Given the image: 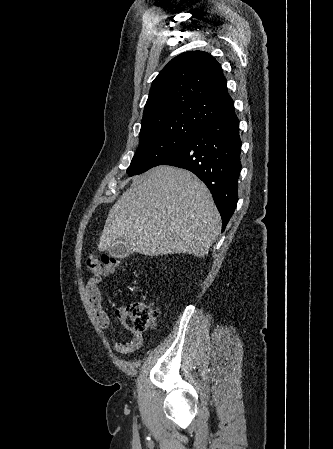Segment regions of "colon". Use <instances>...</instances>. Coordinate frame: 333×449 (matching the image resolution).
Listing matches in <instances>:
<instances>
[{
    "mask_svg": "<svg viewBox=\"0 0 333 449\" xmlns=\"http://www.w3.org/2000/svg\"><path fill=\"white\" fill-rule=\"evenodd\" d=\"M119 260L107 254L88 253L86 266L94 274H109L115 270ZM126 315L134 329L145 331L156 325L158 310L140 301H134L126 307Z\"/></svg>",
    "mask_w": 333,
    "mask_h": 449,
    "instance_id": "obj_1",
    "label": "colon"
}]
</instances>
